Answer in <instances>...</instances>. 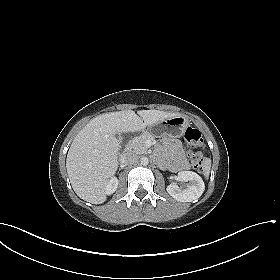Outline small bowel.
Returning <instances> with one entry per match:
<instances>
[{
  "instance_id": "1",
  "label": "small bowel",
  "mask_w": 280,
  "mask_h": 280,
  "mask_svg": "<svg viewBox=\"0 0 280 280\" xmlns=\"http://www.w3.org/2000/svg\"><path fill=\"white\" fill-rule=\"evenodd\" d=\"M183 149L178 143H173L172 145V152L174 154V160L169 164V167L175 171H182L187 169L186 161L180 157L181 152Z\"/></svg>"
}]
</instances>
